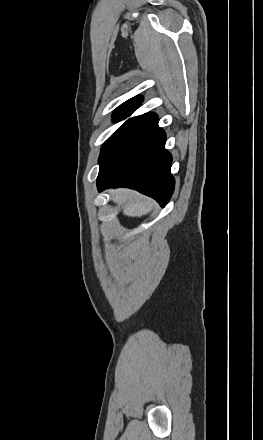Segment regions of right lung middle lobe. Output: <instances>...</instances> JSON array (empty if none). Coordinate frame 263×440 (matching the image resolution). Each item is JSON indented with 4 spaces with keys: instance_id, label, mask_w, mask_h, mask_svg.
<instances>
[{
    "instance_id": "obj_1",
    "label": "right lung middle lobe",
    "mask_w": 263,
    "mask_h": 440,
    "mask_svg": "<svg viewBox=\"0 0 263 440\" xmlns=\"http://www.w3.org/2000/svg\"><path fill=\"white\" fill-rule=\"evenodd\" d=\"M136 108L116 109L113 121L125 119ZM157 120L155 113H145L127 120L104 143L99 157L98 179L106 178Z\"/></svg>"
}]
</instances>
